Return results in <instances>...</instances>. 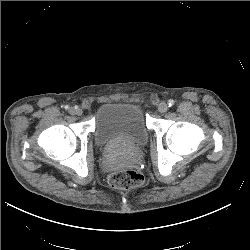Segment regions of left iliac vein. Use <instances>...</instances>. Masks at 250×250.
Returning <instances> with one entry per match:
<instances>
[{"label":"left iliac vein","mask_w":250,"mask_h":250,"mask_svg":"<svg viewBox=\"0 0 250 250\" xmlns=\"http://www.w3.org/2000/svg\"><path fill=\"white\" fill-rule=\"evenodd\" d=\"M168 110V105L165 103V102H161L159 105H158V111L160 113H165L167 112Z\"/></svg>","instance_id":"4c4485c4"}]
</instances>
